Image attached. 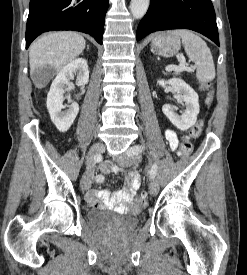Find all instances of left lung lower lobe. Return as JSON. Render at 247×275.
Here are the masks:
<instances>
[{
  "label": "left lung lower lobe",
  "instance_id": "0a47b994",
  "mask_svg": "<svg viewBox=\"0 0 247 275\" xmlns=\"http://www.w3.org/2000/svg\"><path fill=\"white\" fill-rule=\"evenodd\" d=\"M168 29L194 30L219 46L211 0H150L149 9L137 28V40L149 33Z\"/></svg>",
  "mask_w": 247,
  "mask_h": 275
}]
</instances>
